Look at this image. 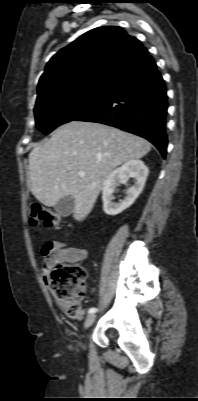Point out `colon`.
Returning a JSON list of instances; mask_svg holds the SVG:
<instances>
[{
  "label": "colon",
  "instance_id": "colon-1",
  "mask_svg": "<svg viewBox=\"0 0 198 401\" xmlns=\"http://www.w3.org/2000/svg\"><path fill=\"white\" fill-rule=\"evenodd\" d=\"M29 223L32 227L40 224L47 229H57L62 225L61 214L46 209L39 203H32ZM86 271L80 263L57 265L49 280L50 290L55 300L64 307L72 319H81L84 310L81 303L85 298Z\"/></svg>",
  "mask_w": 198,
  "mask_h": 401
}]
</instances>
